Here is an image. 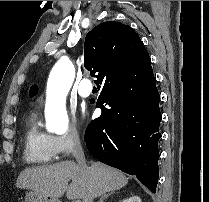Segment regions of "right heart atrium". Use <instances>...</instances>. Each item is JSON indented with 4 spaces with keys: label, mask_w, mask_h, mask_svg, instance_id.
<instances>
[{
    "label": "right heart atrium",
    "mask_w": 209,
    "mask_h": 202,
    "mask_svg": "<svg viewBox=\"0 0 209 202\" xmlns=\"http://www.w3.org/2000/svg\"><path fill=\"white\" fill-rule=\"evenodd\" d=\"M51 137L54 148L60 156H70L81 146L80 133L74 126H71L65 134ZM66 164L70 169L71 175L77 176L82 173V170L75 164L71 162H67Z\"/></svg>",
    "instance_id": "obj_1"
}]
</instances>
